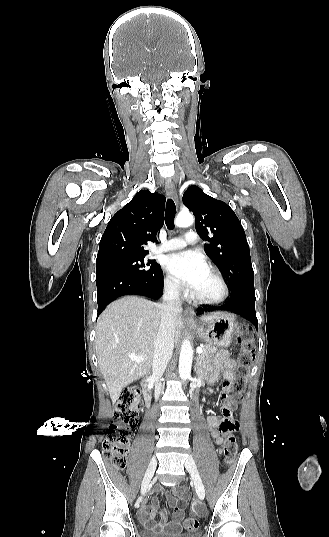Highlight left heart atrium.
Returning <instances> with one entry per match:
<instances>
[{
  "label": "left heart atrium",
  "instance_id": "obj_1",
  "mask_svg": "<svg viewBox=\"0 0 329 537\" xmlns=\"http://www.w3.org/2000/svg\"><path fill=\"white\" fill-rule=\"evenodd\" d=\"M166 270L191 292H195L208 271L203 255L188 250L168 255L164 260Z\"/></svg>",
  "mask_w": 329,
  "mask_h": 537
}]
</instances>
